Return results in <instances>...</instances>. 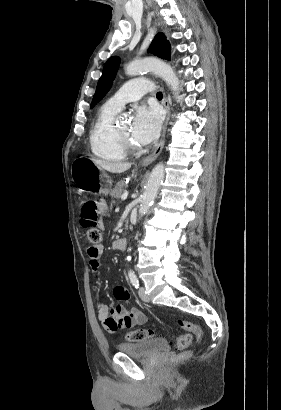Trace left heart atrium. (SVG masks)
Wrapping results in <instances>:
<instances>
[{
	"label": "left heart atrium",
	"instance_id": "39dd6f15",
	"mask_svg": "<svg viewBox=\"0 0 281 410\" xmlns=\"http://www.w3.org/2000/svg\"><path fill=\"white\" fill-rule=\"evenodd\" d=\"M161 128V115L156 108L139 107L134 116L132 138L135 143L147 145L159 135Z\"/></svg>",
	"mask_w": 281,
	"mask_h": 410
}]
</instances>
